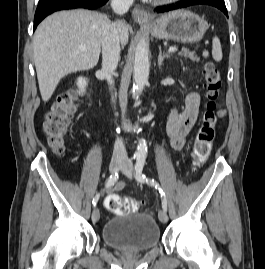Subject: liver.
I'll use <instances>...</instances> for the list:
<instances>
[{"instance_id":"1","label":"liver","mask_w":265,"mask_h":269,"mask_svg":"<svg viewBox=\"0 0 265 269\" xmlns=\"http://www.w3.org/2000/svg\"><path fill=\"white\" fill-rule=\"evenodd\" d=\"M108 23L101 13L78 9L56 12L39 24L33 37V55L44 102L63 77L96 66ZM117 28L121 43L126 45L128 26L118 21Z\"/></svg>"}]
</instances>
